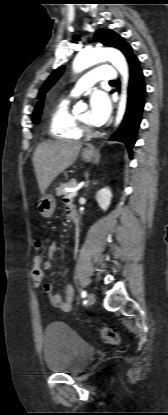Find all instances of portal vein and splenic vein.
Segmentation results:
<instances>
[{
  "label": "portal vein and splenic vein",
  "instance_id": "18ae733b",
  "mask_svg": "<svg viewBox=\"0 0 168 415\" xmlns=\"http://www.w3.org/2000/svg\"><path fill=\"white\" fill-rule=\"evenodd\" d=\"M78 190H79V188H75V189H73V190L70 192V194L68 195V197H70V198L76 197V196H77V193H78Z\"/></svg>",
  "mask_w": 168,
  "mask_h": 415
}]
</instances>
